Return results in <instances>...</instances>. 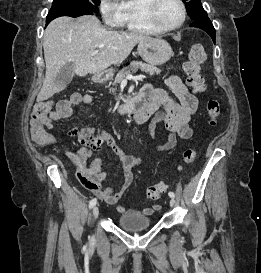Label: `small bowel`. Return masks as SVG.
I'll return each mask as SVG.
<instances>
[{"label":"small bowel","instance_id":"c3829d8e","mask_svg":"<svg viewBox=\"0 0 261 273\" xmlns=\"http://www.w3.org/2000/svg\"><path fill=\"white\" fill-rule=\"evenodd\" d=\"M164 84L172 91L169 94L163 90H155L151 84L143 86L141 92L151 98L155 113L149 124L148 133L153 138L156 125L164 123L169 132L166 143L158 145L157 149L161 151L172 150L177 144V137L190 139L193 136V130L189 126L192 115L198 108V99L192 94L182 79L178 76H170L164 80ZM93 97L91 94L74 95L70 101H64L72 105L83 102L91 103ZM163 106L164 110L158 111L157 108ZM57 112H52L46 120L45 127L48 130L54 128L53 122L63 119ZM69 134L76 137L81 144V148L76 152L67 151L66 156L74 163L77 169V175L80 183L99 199L109 205H116L119 213H125L126 209L117 204L123 193L132 185V168L142 163L140 157L128 155L118 146L115 138L107 131L101 128L85 127L82 129L72 128ZM106 145L117 156L119 166L117 174L121 172L124 177L120 189L104 188L101 184L107 177L106 160L103 156V146ZM91 159V164L87 165V160ZM159 205H152L142 210L146 215L159 210Z\"/></svg>","mask_w":261,"mask_h":273}]
</instances>
